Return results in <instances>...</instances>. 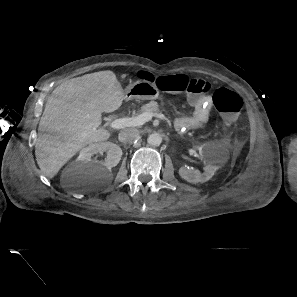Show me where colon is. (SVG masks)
I'll return each mask as SVG.
<instances>
[{
    "label": "colon",
    "instance_id": "1",
    "mask_svg": "<svg viewBox=\"0 0 297 297\" xmlns=\"http://www.w3.org/2000/svg\"><path fill=\"white\" fill-rule=\"evenodd\" d=\"M140 77L155 82L156 86L162 91L176 94L185 93L193 100L205 97L211 89L208 81L190 78L186 75H168L154 78L152 75L142 72ZM213 103L222 116L225 130L238 119L243 109L242 98L227 88H219L215 91Z\"/></svg>",
    "mask_w": 297,
    "mask_h": 297
}]
</instances>
